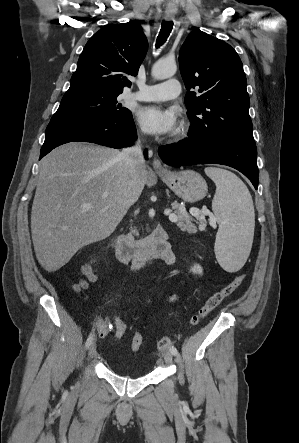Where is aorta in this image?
Segmentation results:
<instances>
[{"label": "aorta", "mask_w": 299, "mask_h": 443, "mask_svg": "<svg viewBox=\"0 0 299 443\" xmlns=\"http://www.w3.org/2000/svg\"><path fill=\"white\" fill-rule=\"evenodd\" d=\"M176 71L177 65L175 61L161 59L153 65L151 75L154 79L163 80L172 77Z\"/></svg>", "instance_id": "obj_1"}]
</instances>
